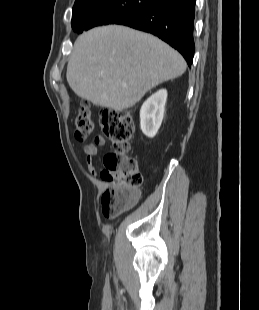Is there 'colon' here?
<instances>
[{
  "instance_id": "colon-1",
  "label": "colon",
  "mask_w": 259,
  "mask_h": 310,
  "mask_svg": "<svg viewBox=\"0 0 259 310\" xmlns=\"http://www.w3.org/2000/svg\"><path fill=\"white\" fill-rule=\"evenodd\" d=\"M94 127L89 107L85 105L75 118L76 139L86 140ZM101 128L113 148L103 158L102 178L113 186L102 195L101 214L106 220H112L135 201L143 179L136 158L128 154L134 133L132 116L125 110H105L101 116Z\"/></svg>"
}]
</instances>
